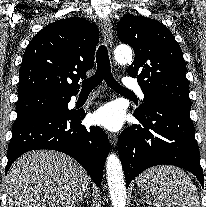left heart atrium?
Returning a JSON list of instances; mask_svg holds the SVG:
<instances>
[{
	"label": "left heart atrium",
	"instance_id": "obj_1",
	"mask_svg": "<svg viewBox=\"0 0 206 207\" xmlns=\"http://www.w3.org/2000/svg\"><path fill=\"white\" fill-rule=\"evenodd\" d=\"M92 120L96 125H99L109 131H119L124 124V112L115 103H108L98 108Z\"/></svg>",
	"mask_w": 206,
	"mask_h": 207
}]
</instances>
